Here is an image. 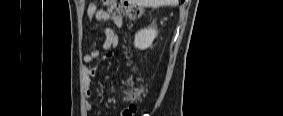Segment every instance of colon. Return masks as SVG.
<instances>
[{
  "mask_svg": "<svg viewBox=\"0 0 283 116\" xmlns=\"http://www.w3.org/2000/svg\"><path fill=\"white\" fill-rule=\"evenodd\" d=\"M104 3L108 5V9L111 13L118 14L128 20L135 21L138 20L142 15V8L131 2L123 0H104ZM143 91V87L140 84L130 81V87L126 92V97L128 99H134L138 97ZM136 112V107L130 105L125 108L122 112L123 116H133Z\"/></svg>",
  "mask_w": 283,
  "mask_h": 116,
  "instance_id": "5ec220e1",
  "label": "colon"
}]
</instances>
